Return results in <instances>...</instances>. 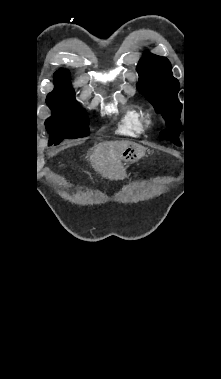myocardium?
<instances>
[{
  "label": "myocardium",
  "instance_id": "f54148a6",
  "mask_svg": "<svg viewBox=\"0 0 221 379\" xmlns=\"http://www.w3.org/2000/svg\"><path fill=\"white\" fill-rule=\"evenodd\" d=\"M145 122H146V124H151V118H150V116H147L146 118H145Z\"/></svg>",
  "mask_w": 221,
  "mask_h": 379
}]
</instances>
